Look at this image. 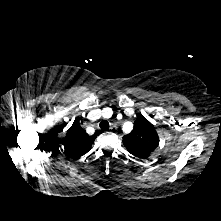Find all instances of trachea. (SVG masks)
Returning a JSON list of instances; mask_svg holds the SVG:
<instances>
[{
    "mask_svg": "<svg viewBox=\"0 0 221 221\" xmlns=\"http://www.w3.org/2000/svg\"><path fill=\"white\" fill-rule=\"evenodd\" d=\"M109 122L108 121H106V120H103V121H101L100 122V128H101V130H108L109 129Z\"/></svg>",
    "mask_w": 221,
    "mask_h": 221,
    "instance_id": "3493384b",
    "label": "trachea"
}]
</instances>
